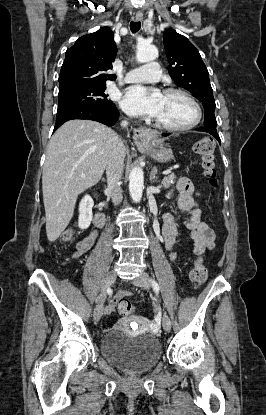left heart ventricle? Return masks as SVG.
Listing matches in <instances>:
<instances>
[{
  "label": "left heart ventricle",
  "instance_id": "b2bd125f",
  "mask_svg": "<svg viewBox=\"0 0 266 415\" xmlns=\"http://www.w3.org/2000/svg\"><path fill=\"white\" fill-rule=\"evenodd\" d=\"M195 110L181 95L163 94L162 103L156 119L166 125L183 126L193 121Z\"/></svg>",
  "mask_w": 266,
  "mask_h": 415
}]
</instances>
